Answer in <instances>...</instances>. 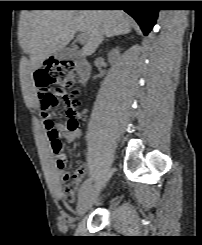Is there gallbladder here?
I'll return each mask as SVG.
<instances>
[{
  "label": "gallbladder",
  "mask_w": 202,
  "mask_h": 245,
  "mask_svg": "<svg viewBox=\"0 0 202 245\" xmlns=\"http://www.w3.org/2000/svg\"><path fill=\"white\" fill-rule=\"evenodd\" d=\"M54 55L60 60H74L78 57L79 53L73 48L65 47L57 50Z\"/></svg>",
  "instance_id": "1"
}]
</instances>
